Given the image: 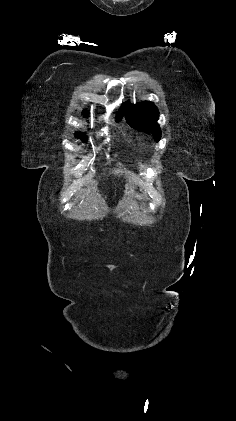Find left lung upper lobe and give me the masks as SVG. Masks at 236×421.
<instances>
[{
    "label": "left lung upper lobe",
    "mask_w": 236,
    "mask_h": 421,
    "mask_svg": "<svg viewBox=\"0 0 236 421\" xmlns=\"http://www.w3.org/2000/svg\"><path fill=\"white\" fill-rule=\"evenodd\" d=\"M124 111L130 126L147 134L152 133L156 141L160 140L161 129L157 124L159 112L152 102H142L136 105L127 102L124 105Z\"/></svg>",
    "instance_id": "5c2ea615"
}]
</instances>
